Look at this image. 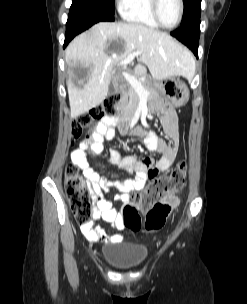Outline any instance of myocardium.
<instances>
[{"mask_svg": "<svg viewBox=\"0 0 247 304\" xmlns=\"http://www.w3.org/2000/svg\"><path fill=\"white\" fill-rule=\"evenodd\" d=\"M178 3H179L178 20L173 26L168 27V26H165L160 19V15H159L160 0H151L152 14H153L155 21L157 22V24L160 27L167 29V30H173L180 25V23L182 22V19H183V15H184V2H183V0H178Z\"/></svg>", "mask_w": 247, "mask_h": 304, "instance_id": "obj_1", "label": "myocardium"}]
</instances>
